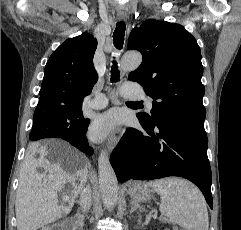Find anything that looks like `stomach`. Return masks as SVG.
I'll return each instance as SVG.
<instances>
[{"label":"stomach","instance_id":"1","mask_svg":"<svg viewBox=\"0 0 241 230\" xmlns=\"http://www.w3.org/2000/svg\"><path fill=\"white\" fill-rule=\"evenodd\" d=\"M131 198L138 202H146L153 198V191L144 183H135L129 189Z\"/></svg>","mask_w":241,"mask_h":230}]
</instances>
